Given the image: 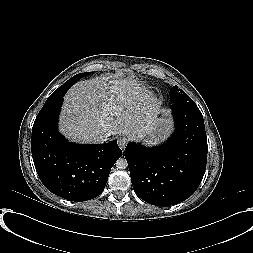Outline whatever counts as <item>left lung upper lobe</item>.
I'll use <instances>...</instances> for the list:
<instances>
[{
    "label": "left lung upper lobe",
    "instance_id": "left-lung-upper-lobe-1",
    "mask_svg": "<svg viewBox=\"0 0 253 253\" xmlns=\"http://www.w3.org/2000/svg\"><path fill=\"white\" fill-rule=\"evenodd\" d=\"M170 97L174 103L182 104L190 107H197L194 101L186 95L182 90L177 86H174L170 90Z\"/></svg>",
    "mask_w": 253,
    "mask_h": 253
}]
</instances>
